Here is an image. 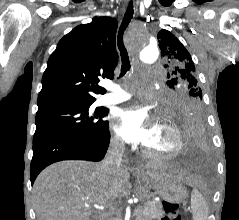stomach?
Returning a JSON list of instances; mask_svg holds the SVG:
<instances>
[{"mask_svg": "<svg viewBox=\"0 0 239 220\" xmlns=\"http://www.w3.org/2000/svg\"><path fill=\"white\" fill-rule=\"evenodd\" d=\"M144 186H150L157 195H159L164 205L160 212L159 220H185L187 212L185 205H178L187 196V191L181 181L174 177L165 176V178L156 179L155 183H143Z\"/></svg>", "mask_w": 239, "mask_h": 220, "instance_id": "obj_1", "label": "stomach"}]
</instances>
